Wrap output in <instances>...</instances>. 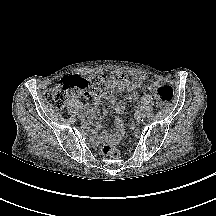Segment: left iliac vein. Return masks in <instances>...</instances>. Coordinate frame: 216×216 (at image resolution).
<instances>
[{"label": "left iliac vein", "mask_w": 216, "mask_h": 216, "mask_svg": "<svg viewBox=\"0 0 216 216\" xmlns=\"http://www.w3.org/2000/svg\"><path fill=\"white\" fill-rule=\"evenodd\" d=\"M140 115H139V120H143L144 118H145V114L144 113H142V112H140L139 113Z\"/></svg>", "instance_id": "4c4485c4"}]
</instances>
